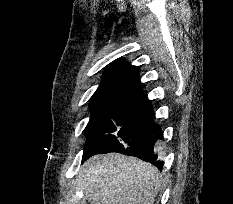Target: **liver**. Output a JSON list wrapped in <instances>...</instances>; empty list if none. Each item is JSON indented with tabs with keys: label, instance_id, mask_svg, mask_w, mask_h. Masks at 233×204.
I'll return each instance as SVG.
<instances>
[{
	"label": "liver",
	"instance_id": "6515ba94",
	"mask_svg": "<svg viewBox=\"0 0 233 204\" xmlns=\"http://www.w3.org/2000/svg\"><path fill=\"white\" fill-rule=\"evenodd\" d=\"M161 184L156 167L119 153L95 155L79 172L90 204H153Z\"/></svg>",
	"mask_w": 233,
	"mask_h": 204
}]
</instances>
